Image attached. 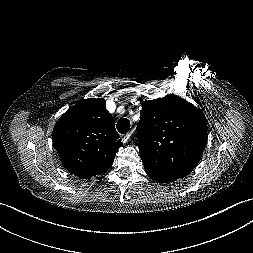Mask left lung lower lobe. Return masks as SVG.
Instances as JSON below:
<instances>
[{
  "instance_id": "left-lung-lower-lobe-1",
  "label": "left lung lower lobe",
  "mask_w": 253,
  "mask_h": 253,
  "mask_svg": "<svg viewBox=\"0 0 253 253\" xmlns=\"http://www.w3.org/2000/svg\"><path fill=\"white\" fill-rule=\"evenodd\" d=\"M145 171L149 177H151L153 180H156L159 183H169V182H173L177 179V177L155 173V172L147 169L146 167H145Z\"/></svg>"
}]
</instances>
